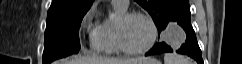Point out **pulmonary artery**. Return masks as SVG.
<instances>
[{
	"mask_svg": "<svg viewBox=\"0 0 242 64\" xmlns=\"http://www.w3.org/2000/svg\"><path fill=\"white\" fill-rule=\"evenodd\" d=\"M112 4L114 6H117V7L121 8V9L126 10L128 8L129 1L128 0H113Z\"/></svg>",
	"mask_w": 242,
	"mask_h": 64,
	"instance_id": "e3ab8cb5",
	"label": "pulmonary artery"
}]
</instances>
